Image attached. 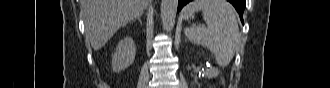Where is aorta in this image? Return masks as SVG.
<instances>
[{
	"label": "aorta",
	"instance_id": "1",
	"mask_svg": "<svg viewBox=\"0 0 330 88\" xmlns=\"http://www.w3.org/2000/svg\"><path fill=\"white\" fill-rule=\"evenodd\" d=\"M178 0H162L161 20L166 31H171L175 25Z\"/></svg>",
	"mask_w": 330,
	"mask_h": 88
}]
</instances>
